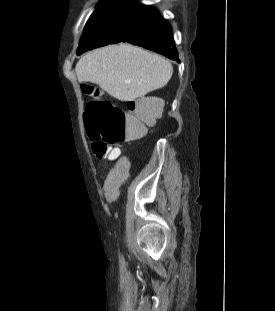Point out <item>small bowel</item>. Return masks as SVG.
Listing matches in <instances>:
<instances>
[{
	"label": "small bowel",
	"mask_w": 275,
	"mask_h": 311,
	"mask_svg": "<svg viewBox=\"0 0 275 311\" xmlns=\"http://www.w3.org/2000/svg\"><path fill=\"white\" fill-rule=\"evenodd\" d=\"M120 150L117 149V155L112 159L118 157L116 160L115 165L117 169H110L109 170V178L107 183H105L104 188L105 190H112L114 189L113 185H118L119 180H127L128 176H133V169H129L131 166V156L130 155H119ZM108 201H117L118 195L117 194H108L107 195ZM110 213H117L118 207L117 206H110L109 207Z\"/></svg>",
	"instance_id": "small-bowel-1"
}]
</instances>
